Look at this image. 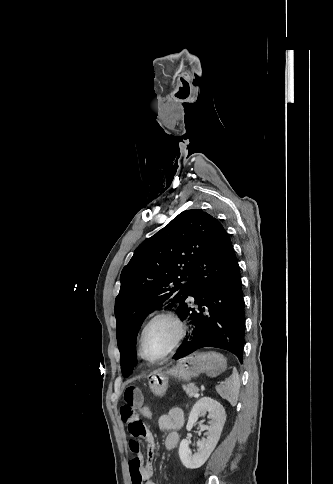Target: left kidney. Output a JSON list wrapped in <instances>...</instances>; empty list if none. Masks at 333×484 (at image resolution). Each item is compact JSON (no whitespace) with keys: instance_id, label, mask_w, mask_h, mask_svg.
<instances>
[{"instance_id":"left-kidney-1","label":"left kidney","mask_w":333,"mask_h":484,"mask_svg":"<svg viewBox=\"0 0 333 484\" xmlns=\"http://www.w3.org/2000/svg\"><path fill=\"white\" fill-rule=\"evenodd\" d=\"M208 412L210 419L209 426H200L202 431H206L207 438L197 443V452L192 454L189 449V441L183 439L179 446V456L182 464L188 469L201 467L215 449L226 421L224 407L210 397H202L193 406L186 429L190 431L198 418Z\"/></svg>"}]
</instances>
